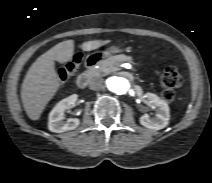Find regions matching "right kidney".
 <instances>
[{
	"label": "right kidney",
	"mask_w": 212,
	"mask_h": 183,
	"mask_svg": "<svg viewBox=\"0 0 212 183\" xmlns=\"http://www.w3.org/2000/svg\"><path fill=\"white\" fill-rule=\"evenodd\" d=\"M78 95L73 94L56 104V106L49 113L48 129L52 132L62 133L77 128L80 120L77 118H70L64 121V112L76 104Z\"/></svg>",
	"instance_id": "right-kidney-1"
}]
</instances>
